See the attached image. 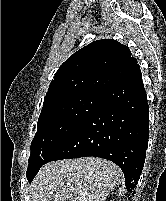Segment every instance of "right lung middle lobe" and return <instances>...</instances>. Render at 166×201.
<instances>
[{
	"label": "right lung middle lobe",
	"instance_id": "right-lung-middle-lobe-1",
	"mask_svg": "<svg viewBox=\"0 0 166 201\" xmlns=\"http://www.w3.org/2000/svg\"><path fill=\"white\" fill-rule=\"evenodd\" d=\"M101 95H82L61 101L40 114L31 144L27 179L37 173L56 147L100 104Z\"/></svg>",
	"mask_w": 166,
	"mask_h": 201
}]
</instances>
